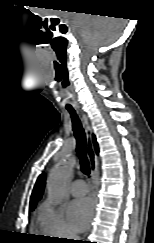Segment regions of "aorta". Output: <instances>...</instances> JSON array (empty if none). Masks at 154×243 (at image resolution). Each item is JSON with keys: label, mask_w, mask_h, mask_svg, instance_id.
I'll return each instance as SVG.
<instances>
[{"label": "aorta", "mask_w": 154, "mask_h": 243, "mask_svg": "<svg viewBox=\"0 0 154 243\" xmlns=\"http://www.w3.org/2000/svg\"><path fill=\"white\" fill-rule=\"evenodd\" d=\"M75 162L72 157L66 156L55 168L50 172L47 189L50 201L57 205L61 203L64 196L65 184L73 173Z\"/></svg>", "instance_id": "1"}]
</instances>
